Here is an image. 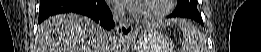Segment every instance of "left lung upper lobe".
I'll list each match as a JSON object with an SVG mask.
<instances>
[{"mask_svg":"<svg viewBox=\"0 0 261 52\" xmlns=\"http://www.w3.org/2000/svg\"><path fill=\"white\" fill-rule=\"evenodd\" d=\"M175 13L192 18L196 21H202L201 15L197 9V0H180Z\"/></svg>","mask_w":261,"mask_h":52,"instance_id":"obj_1","label":"left lung upper lobe"}]
</instances>
